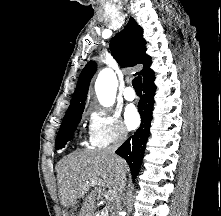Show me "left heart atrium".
<instances>
[{
    "mask_svg": "<svg viewBox=\"0 0 221 216\" xmlns=\"http://www.w3.org/2000/svg\"><path fill=\"white\" fill-rule=\"evenodd\" d=\"M125 123L129 129H135L140 123V117L135 106L129 105L124 112Z\"/></svg>",
    "mask_w": 221,
    "mask_h": 216,
    "instance_id": "left-heart-atrium-1",
    "label": "left heart atrium"
}]
</instances>
